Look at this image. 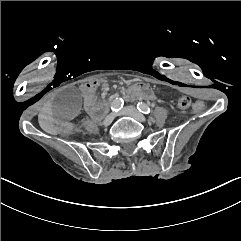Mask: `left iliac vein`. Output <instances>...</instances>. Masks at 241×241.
I'll return each mask as SVG.
<instances>
[{
    "label": "left iliac vein",
    "instance_id": "1",
    "mask_svg": "<svg viewBox=\"0 0 241 241\" xmlns=\"http://www.w3.org/2000/svg\"><path fill=\"white\" fill-rule=\"evenodd\" d=\"M117 116H129L133 117L139 122H146V118L135 108L132 106H127L123 108L120 112L116 114Z\"/></svg>",
    "mask_w": 241,
    "mask_h": 241
}]
</instances>
